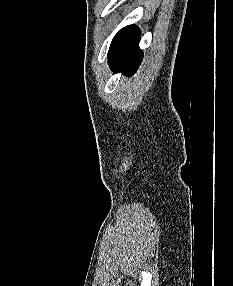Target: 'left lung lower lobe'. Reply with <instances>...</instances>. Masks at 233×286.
I'll list each match as a JSON object with an SVG mask.
<instances>
[{
  "label": "left lung lower lobe",
  "instance_id": "left-lung-lower-lobe-1",
  "mask_svg": "<svg viewBox=\"0 0 233 286\" xmlns=\"http://www.w3.org/2000/svg\"><path fill=\"white\" fill-rule=\"evenodd\" d=\"M139 41L140 31L135 25L126 26L115 35L108 52V62L113 71H122L128 76L136 72L143 57Z\"/></svg>",
  "mask_w": 233,
  "mask_h": 286
}]
</instances>
